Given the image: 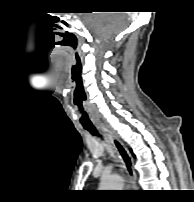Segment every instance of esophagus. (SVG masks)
Wrapping results in <instances>:
<instances>
[{"label":"esophagus","mask_w":194,"mask_h":202,"mask_svg":"<svg viewBox=\"0 0 194 202\" xmlns=\"http://www.w3.org/2000/svg\"><path fill=\"white\" fill-rule=\"evenodd\" d=\"M99 127L104 131L105 135L108 137V139L111 141V143L115 147L116 151L118 152V154L123 162L125 171L128 175L130 186L135 187L137 175H136V172L134 169V160H133L132 156L130 155L128 149L108 127H106L102 124H99Z\"/></svg>","instance_id":"1"}]
</instances>
